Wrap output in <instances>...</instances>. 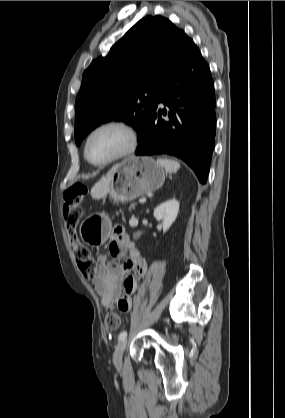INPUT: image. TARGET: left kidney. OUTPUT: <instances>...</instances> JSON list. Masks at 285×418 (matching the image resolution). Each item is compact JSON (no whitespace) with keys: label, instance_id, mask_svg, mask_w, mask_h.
<instances>
[{"label":"left kidney","instance_id":"obj_1","mask_svg":"<svg viewBox=\"0 0 285 418\" xmlns=\"http://www.w3.org/2000/svg\"><path fill=\"white\" fill-rule=\"evenodd\" d=\"M179 202L176 199H170L161 203L154 209V217L163 225V232L165 233L175 221L179 212Z\"/></svg>","mask_w":285,"mask_h":418}]
</instances>
